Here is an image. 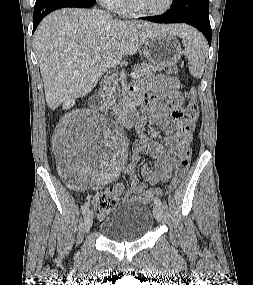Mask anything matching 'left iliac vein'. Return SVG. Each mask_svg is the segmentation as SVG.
Wrapping results in <instances>:
<instances>
[{"label":"left iliac vein","instance_id":"4c4485c4","mask_svg":"<svg viewBox=\"0 0 253 285\" xmlns=\"http://www.w3.org/2000/svg\"><path fill=\"white\" fill-rule=\"evenodd\" d=\"M153 214H154L155 219L158 222H160L163 218V210H162L161 206L155 205L153 208Z\"/></svg>","mask_w":253,"mask_h":285}]
</instances>
